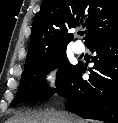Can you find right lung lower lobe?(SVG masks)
<instances>
[{"mask_svg":"<svg viewBox=\"0 0 118 123\" xmlns=\"http://www.w3.org/2000/svg\"><path fill=\"white\" fill-rule=\"evenodd\" d=\"M95 52L89 80L79 63L70 79L56 92L68 100L71 112L87 119L118 123V32L88 47Z\"/></svg>","mask_w":118,"mask_h":123,"instance_id":"right-lung-lower-lobe-1","label":"right lung lower lobe"}]
</instances>
